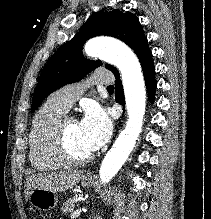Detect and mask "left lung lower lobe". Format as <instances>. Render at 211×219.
<instances>
[{"instance_id": "obj_1", "label": "left lung lower lobe", "mask_w": 211, "mask_h": 219, "mask_svg": "<svg viewBox=\"0 0 211 219\" xmlns=\"http://www.w3.org/2000/svg\"><path fill=\"white\" fill-rule=\"evenodd\" d=\"M135 53L138 56L143 69L144 79L150 102H153L156 89L155 67L152 62V53L148 47L147 38L144 39V41L140 44ZM113 74L116 78L115 99L117 103L121 104L124 107L125 101L120 75L117 70L113 72Z\"/></svg>"}]
</instances>
